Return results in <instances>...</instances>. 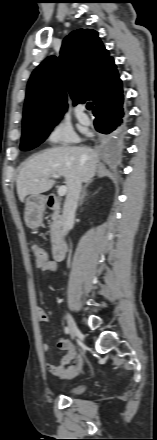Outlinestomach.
I'll return each mask as SVG.
<instances>
[{
  "instance_id": "1",
  "label": "stomach",
  "mask_w": 157,
  "mask_h": 440,
  "mask_svg": "<svg viewBox=\"0 0 157 440\" xmlns=\"http://www.w3.org/2000/svg\"><path fill=\"white\" fill-rule=\"evenodd\" d=\"M45 210V198L42 196H30L25 201L24 220L31 229L38 228L43 221Z\"/></svg>"
}]
</instances>
